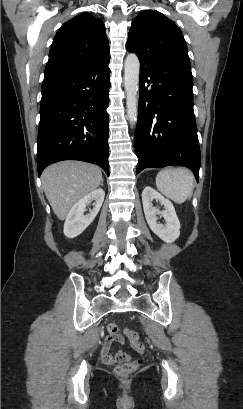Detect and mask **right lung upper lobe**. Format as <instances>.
<instances>
[{
  "label": "right lung upper lobe",
  "instance_id": "cb5924a9",
  "mask_svg": "<svg viewBox=\"0 0 243 409\" xmlns=\"http://www.w3.org/2000/svg\"><path fill=\"white\" fill-rule=\"evenodd\" d=\"M109 55L102 20L87 12L79 14L58 30L50 48L44 78L81 70Z\"/></svg>",
  "mask_w": 243,
  "mask_h": 409
}]
</instances>
